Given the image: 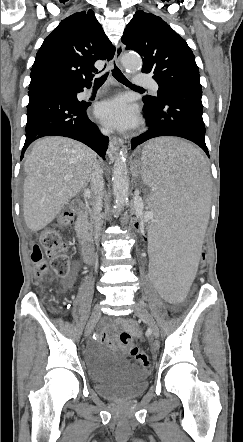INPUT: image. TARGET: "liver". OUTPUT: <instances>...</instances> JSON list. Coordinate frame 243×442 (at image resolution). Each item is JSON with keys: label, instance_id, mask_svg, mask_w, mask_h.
I'll return each mask as SVG.
<instances>
[{"label": "liver", "instance_id": "1", "mask_svg": "<svg viewBox=\"0 0 243 442\" xmlns=\"http://www.w3.org/2000/svg\"><path fill=\"white\" fill-rule=\"evenodd\" d=\"M96 153L66 137H45L25 161L23 212L27 227L39 231L91 180ZM71 177L66 180V177Z\"/></svg>", "mask_w": 243, "mask_h": 442}]
</instances>
